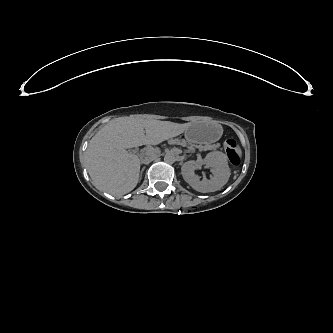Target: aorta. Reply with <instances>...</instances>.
<instances>
[{
	"instance_id": "obj_1",
	"label": "aorta",
	"mask_w": 333,
	"mask_h": 333,
	"mask_svg": "<svg viewBox=\"0 0 333 333\" xmlns=\"http://www.w3.org/2000/svg\"><path fill=\"white\" fill-rule=\"evenodd\" d=\"M164 161H165L166 163H168V164H173V163H175V161H176V157H175V155H174L173 153L168 152V153H166L165 156H164Z\"/></svg>"
}]
</instances>
